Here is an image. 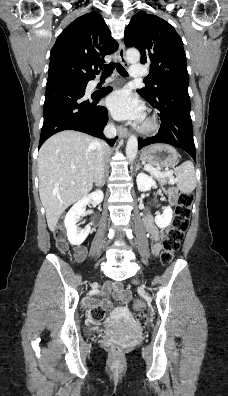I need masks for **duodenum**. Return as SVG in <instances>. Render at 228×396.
Listing matches in <instances>:
<instances>
[{
  "instance_id": "duodenum-1",
  "label": "duodenum",
  "mask_w": 228,
  "mask_h": 396,
  "mask_svg": "<svg viewBox=\"0 0 228 396\" xmlns=\"http://www.w3.org/2000/svg\"><path fill=\"white\" fill-rule=\"evenodd\" d=\"M148 229H149V231H150L151 233H154V232H155V227L153 226L152 223L149 224Z\"/></svg>"
}]
</instances>
